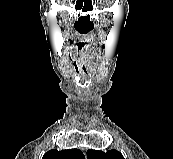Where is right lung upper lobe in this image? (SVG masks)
Listing matches in <instances>:
<instances>
[{
    "instance_id": "cb5924a9",
    "label": "right lung upper lobe",
    "mask_w": 173,
    "mask_h": 159,
    "mask_svg": "<svg viewBox=\"0 0 173 159\" xmlns=\"http://www.w3.org/2000/svg\"><path fill=\"white\" fill-rule=\"evenodd\" d=\"M43 159H85V156L78 149L50 150L44 154Z\"/></svg>"
}]
</instances>
